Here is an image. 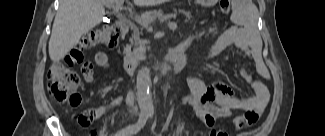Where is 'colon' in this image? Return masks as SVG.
<instances>
[{
  "label": "colon",
  "instance_id": "5ec220e1",
  "mask_svg": "<svg viewBox=\"0 0 325 136\" xmlns=\"http://www.w3.org/2000/svg\"><path fill=\"white\" fill-rule=\"evenodd\" d=\"M221 10L228 13L231 0H221ZM120 31L114 25H105L86 34L79 45L81 49L97 46L112 48L117 44ZM48 90L51 98L58 103H67L75 106L80 102L76 91L80 84L78 74L70 70L61 61L54 62L48 70ZM91 136H96L92 133Z\"/></svg>",
  "mask_w": 325,
  "mask_h": 136
}]
</instances>
